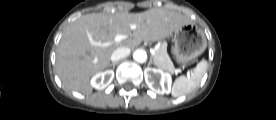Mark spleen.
<instances>
[{
  "instance_id": "1",
  "label": "spleen",
  "mask_w": 276,
  "mask_h": 120,
  "mask_svg": "<svg viewBox=\"0 0 276 120\" xmlns=\"http://www.w3.org/2000/svg\"><path fill=\"white\" fill-rule=\"evenodd\" d=\"M207 69V61H200L192 72L191 76H180L172 87V96L180 97L194 90L200 83Z\"/></svg>"
}]
</instances>
